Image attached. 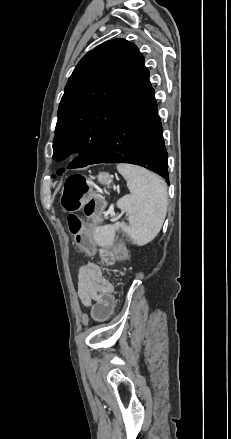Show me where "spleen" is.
<instances>
[{
	"mask_svg": "<svg viewBox=\"0 0 231 439\" xmlns=\"http://www.w3.org/2000/svg\"><path fill=\"white\" fill-rule=\"evenodd\" d=\"M119 173L127 181L130 195L117 201V206L128 214L129 224L117 222L94 228V239L99 245H111L115 232L123 231L138 245L146 244L159 233L166 217L168 196L163 179L138 166L120 164Z\"/></svg>",
	"mask_w": 231,
	"mask_h": 439,
	"instance_id": "obj_1",
	"label": "spleen"
}]
</instances>
